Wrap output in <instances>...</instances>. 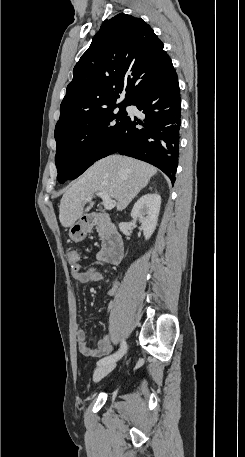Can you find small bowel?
<instances>
[{
	"label": "small bowel",
	"instance_id": "c3829d8e",
	"mask_svg": "<svg viewBox=\"0 0 245 457\" xmlns=\"http://www.w3.org/2000/svg\"><path fill=\"white\" fill-rule=\"evenodd\" d=\"M72 278L78 283L98 282L102 280L101 272L96 268H89L81 271L80 269L71 270ZM119 286L118 282H113L111 288L106 293L107 296H113ZM76 343L79 352L88 357H102L111 353L116 345V340L112 334L105 335L98 341L97 346L92 348L87 344L86 332L78 328L75 332Z\"/></svg>",
	"mask_w": 245,
	"mask_h": 457
}]
</instances>
